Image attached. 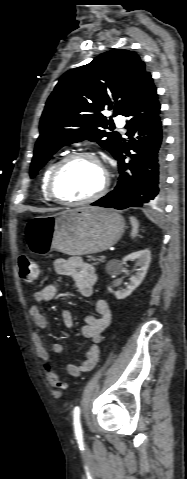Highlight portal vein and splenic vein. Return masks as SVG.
<instances>
[{"instance_id": "obj_1", "label": "portal vein and splenic vein", "mask_w": 187, "mask_h": 479, "mask_svg": "<svg viewBox=\"0 0 187 479\" xmlns=\"http://www.w3.org/2000/svg\"><path fill=\"white\" fill-rule=\"evenodd\" d=\"M102 259H105V256H101Z\"/></svg>"}]
</instances>
